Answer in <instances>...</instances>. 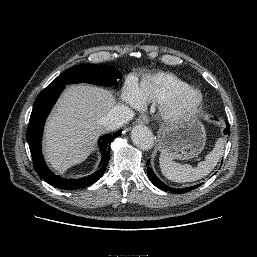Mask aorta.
I'll list each match as a JSON object with an SVG mask.
<instances>
[{
  "label": "aorta",
  "instance_id": "aorta-1",
  "mask_svg": "<svg viewBox=\"0 0 257 257\" xmlns=\"http://www.w3.org/2000/svg\"><path fill=\"white\" fill-rule=\"evenodd\" d=\"M131 139L142 150H150L154 145L153 133L145 125L134 126L131 131Z\"/></svg>",
  "mask_w": 257,
  "mask_h": 257
}]
</instances>
